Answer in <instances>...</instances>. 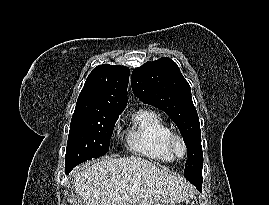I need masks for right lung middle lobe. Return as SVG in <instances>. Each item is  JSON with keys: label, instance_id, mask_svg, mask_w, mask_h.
I'll return each instance as SVG.
<instances>
[{"label": "right lung middle lobe", "instance_id": "1", "mask_svg": "<svg viewBox=\"0 0 269 205\" xmlns=\"http://www.w3.org/2000/svg\"><path fill=\"white\" fill-rule=\"evenodd\" d=\"M117 114H86L74 112L67 142L65 172L76 165L98 158L109 151V142Z\"/></svg>", "mask_w": 269, "mask_h": 205}]
</instances>
